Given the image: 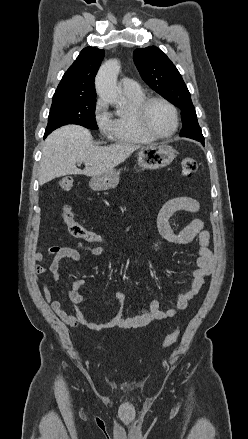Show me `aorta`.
I'll return each instance as SVG.
<instances>
[{
	"label": "aorta",
	"mask_w": 248,
	"mask_h": 439,
	"mask_svg": "<svg viewBox=\"0 0 248 439\" xmlns=\"http://www.w3.org/2000/svg\"><path fill=\"white\" fill-rule=\"evenodd\" d=\"M120 68V62L117 59L108 60L100 67L95 79L97 94L116 107H121L124 104L117 87Z\"/></svg>",
	"instance_id": "1"
}]
</instances>
